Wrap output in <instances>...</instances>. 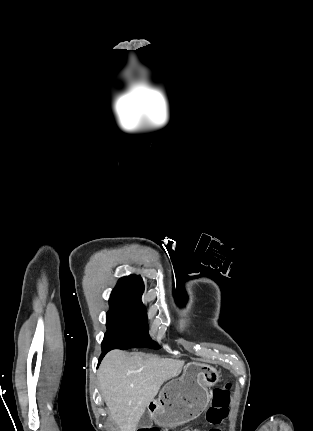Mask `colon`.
Wrapping results in <instances>:
<instances>
[{
  "label": "colon",
  "mask_w": 313,
  "mask_h": 431,
  "mask_svg": "<svg viewBox=\"0 0 313 431\" xmlns=\"http://www.w3.org/2000/svg\"><path fill=\"white\" fill-rule=\"evenodd\" d=\"M231 384H227L222 388H216L211 393V405L207 410V421L213 425L209 430H186V431H222L220 426L223 420L228 416L229 403L231 395ZM139 431H159L156 428H143Z\"/></svg>",
  "instance_id": "1"
}]
</instances>
